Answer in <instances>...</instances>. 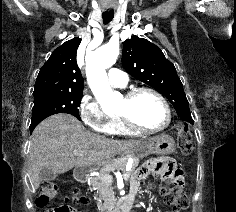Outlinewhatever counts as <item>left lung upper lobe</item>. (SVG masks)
Segmentation results:
<instances>
[{
	"instance_id": "5c2ea615",
	"label": "left lung upper lobe",
	"mask_w": 236,
	"mask_h": 212,
	"mask_svg": "<svg viewBox=\"0 0 236 212\" xmlns=\"http://www.w3.org/2000/svg\"><path fill=\"white\" fill-rule=\"evenodd\" d=\"M122 65L139 81L162 93L179 117L190 115L189 104L175 66L147 39L132 36L123 43Z\"/></svg>"
}]
</instances>
